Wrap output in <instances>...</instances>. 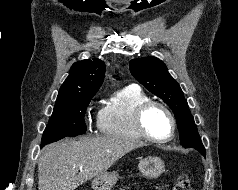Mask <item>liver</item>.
<instances>
[{"label":"liver","mask_w":238,"mask_h":190,"mask_svg":"<svg viewBox=\"0 0 238 190\" xmlns=\"http://www.w3.org/2000/svg\"><path fill=\"white\" fill-rule=\"evenodd\" d=\"M142 146L144 143L127 138L85 137L48 147L38 160V189L74 190Z\"/></svg>","instance_id":"6515ba94"}]
</instances>
